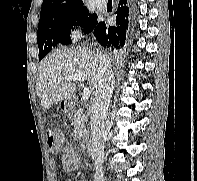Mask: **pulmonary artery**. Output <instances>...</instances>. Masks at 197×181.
I'll list each match as a JSON object with an SVG mask.
<instances>
[{"label": "pulmonary artery", "instance_id": "e3ab8cb5", "mask_svg": "<svg viewBox=\"0 0 197 181\" xmlns=\"http://www.w3.org/2000/svg\"><path fill=\"white\" fill-rule=\"evenodd\" d=\"M95 6L99 9H104L106 6L105 0H95Z\"/></svg>", "mask_w": 197, "mask_h": 181}]
</instances>
